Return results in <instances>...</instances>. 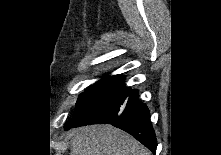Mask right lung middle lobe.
<instances>
[{"instance_id": "1", "label": "right lung middle lobe", "mask_w": 221, "mask_h": 155, "mask_svg": "<svg viewBox=\"0 0 221 155\" xmlns=\"http://www.w3.org/2000/svg\"><path fill=\"white\" fill-rule=\"evenodd\" d=\"M110 76H105L103 79L90 86L76 104L75 114L73 119L65 124V129L68 130L76 125H79L92 112L100 98L102 97Z\"/></svg>"}]
</instances>
